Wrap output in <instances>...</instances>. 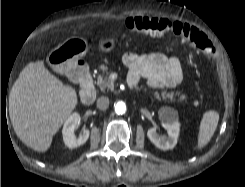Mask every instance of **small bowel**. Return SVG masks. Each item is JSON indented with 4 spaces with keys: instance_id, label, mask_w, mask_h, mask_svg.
<instances>
[{
    "instance_id": "small-bowel-1",
    "label": "small bowel",
    "mask_w": 245,
    "mask_h": 187,
    "mask_svg": "<svg viewBox=\"0 0 245 187\" xmlns=\"http://www.w3.org/2000/svg\"><path fill=\"white\" fill-rule=\"evenodd\" d=\"M123 63L129 70L128 80L131 86H136L144 79L153 89H170L182 81L181 64L175 57L161 53H126Z\"/></svg>"
}]
</instances>
